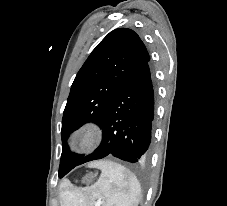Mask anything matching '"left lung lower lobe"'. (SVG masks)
Segmentation results:
<instances>
[{
  "mask_svg": "<svg viewBox=\"0 0 227 206\" xmlns=\"http://www.w3.org/2000/svg\"><path fill=\"white\" fill-rule=\"evenodd\" d=\"M154 97L147 62L126 80L113 98L101 126V145L77 165L108 155L132 163L146 158L152 141ZM72 169L59 173V177L62 178Z\"/></svg>",
  "mask_w": 227,
  "mask_h": 206,
  "instance_id": "1",
  "label": "left lung lower lobe"
}]
</instances>
